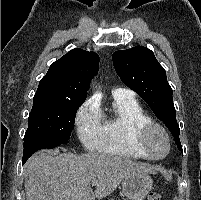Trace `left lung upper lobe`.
Masks as SVG:
<instances>
[{"label":"left lung upper lobe","instance_id":"1","mask_svg":"<svg viewBox=\"0 0 201 200\" xmlns=\"http://www.w3.org/2000/svg\"><path fill=\"white\" fill-rule=\"evenodd\" d=\"M112 60L122 82L140 95L157 118L164 122L172 133L178 149L183 152L172 100V88L167 82L164 68L154 53L143 46H136L114 52Z\"/></svg>","mask_w":201,"mask_h":200}]
</instances>
